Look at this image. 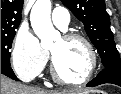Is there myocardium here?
<instances>
[{
  "label": "myocardium",
  "instance_id": "f54148a6",
  "mask_svg": "<svg viewBox=\"0 0 121 94\" xmlns=\"http://www.w3.org/2000/svg\"><path fill=\"white\" fill-rule=\"evenodd\" d=\"M62 39L65 41L78 40L84 43L89 54V68L86 75L82 79L73 81L67 80L60 75L57 68L55 57L51 52V75L53 80L64 86H78L87 83L93 77L98 64V58L93 44L90 42L88 38L78 33L65 34L63 35Z\"/></svg>",
  "mask_w": 121,
  "mask_h": 94
}]
</instances>
